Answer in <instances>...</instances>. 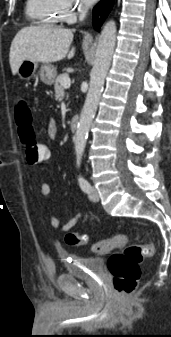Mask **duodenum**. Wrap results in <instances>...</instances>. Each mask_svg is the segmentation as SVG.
<instances>
[{"label": "duodenum", "mask_w": 171, "mask_h": 337, "mask_svg": "<svg viewBox=\"0 0 171 337\" xmlns=\"http://www.w3.org/2000/svg\"><path fill=\"white\" fill-rule=\"evenodd\" d=\"M78 124H79L78 116H73L69 122V129L71 131H76L78 128Z\"/></svg>", "instance_id": "duodenum-1"}]
</instances>
